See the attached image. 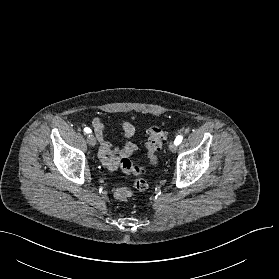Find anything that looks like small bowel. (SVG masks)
<instances>
[{"mask_svg":"<svg viewBox=\"0 0 279 279\" xmlns=\"http://www.w3.org/2000/svg\"><path fill=\"white\" fill-rule=\"evenodd\" d=\"M92 127L100 145L99 159L108 170L115 171L119 167L121 159L130 156L137 150V146L131 142H126L121 147H113L106 138L105 125L100 117L93 118ZM120 128L125 138H131L135 133V128L130 122H122Z\"/></svg>","mask_w":279,"mask_h":279,"instance_id":"obj_1","label":"small bowel"}]
</instances>
